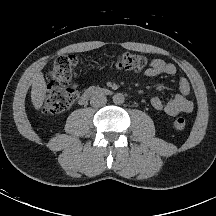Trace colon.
<instances>
[{"label":"colon","instance_id":"colon-1","mask_svg":"<svg viewBox=\"0 0 216 216\" xmlns=\"http://www.w3.org/2000/svg\"><path fill=\"white\" fill-rule=\"evenodd\" d=\"M104 63L117 68L133 71H142L151 65V61L143 55L119 52L108 55ZM78 59L73 54H65L57 57L49 73V80L61 87H52L46 92L42 111L44 114H57L68 110L75 102L78 91L74 83ZM185 117H177L173 121V128L182 130L186 127Z\"/></svg>","mask_w":216,"mask_h":216}]
</instances>
